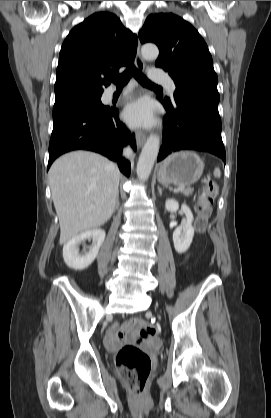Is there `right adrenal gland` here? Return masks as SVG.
<instances>
[{"label":"right adrenal gland","instance_id":"obj_1","mask_svg":"<svg viewBox=\"0 0 271 418\" xmlns=\"http://www.w3.org/2000/svg\"><path fill=\"white\" fill-rule=\"evenodd\" d=\"M119 205H120V203H119V191H118L117 192V197H116V205H115L116 209L119 208Z\"/></svg>","mask_w":271,"mask_h":418}]
</instances>
